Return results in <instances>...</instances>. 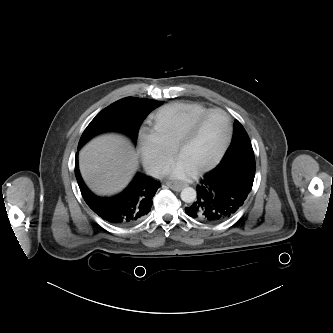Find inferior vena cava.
Instances as JSON below:
<instances>
[{
    "instance_id": "inferior-vena-cava-1",
    "label": "inferior vena cava",
    "mask_w": 333,
    "mask_h": 333,
    "mask_svg": "<svg viewBox=\"0 0 333 333\" xmlns=\"http://www.w3.org/2000/svg\"><path fill=\"white\" fill-rule=\"evenodd\" d=\"M166 174H167V171L161 167H156L151 172V175L158 179L163 178Z\"/></svg>"
}]
</instances>
